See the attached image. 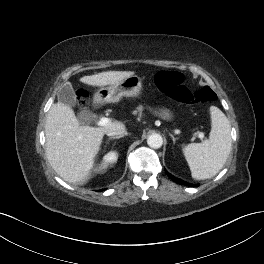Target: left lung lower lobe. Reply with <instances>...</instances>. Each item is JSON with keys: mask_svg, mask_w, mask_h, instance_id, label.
<instances>
[{"mask_svg": "<svg viewBox=\"0 0 264 264\" xmlns=\"http://www.w3.org/2000/svg\"><path fill=\"white\" fill-rule=\"evenodd\" d=\"M165 172H166V174L173 180V181H175V182H177V183H179V184H181V185H186V186H193V187H195V186H197V185H192V184H190V183H187V182H185V181H183V180H181V179H178V178H176V177H174V176H172L171 174H169L166 170H165Z\"/></svg>", "mask_w": 264, "mask_h": 264, "instance_id": "0a47b994", "label": "left lung lower lobe"}]
</instances>
